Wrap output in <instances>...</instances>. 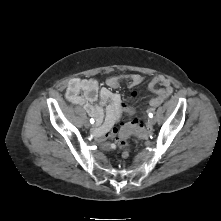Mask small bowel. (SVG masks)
<instances>
[{"instance_id": "1", "label": "small bowel", "mask_w": 221, "mask_h": 221, "mask_svg": "<svg viewBox=\"0 0 221 221\" xmlns=\"http://www.w3.org/2000/svg\"><path fill=\"white\" fill-rule=\"evenodd\" d=\"M122 80H128L130 86H136L144 81V77L140 74L111 76L107 78L106 86L102 88L95 79L74 78L66 88L68 101L82 106L88 115L95 119L94 134L99 138L114 139L119 131L115 125L121 116L124 113L133 114L134 112L131 107L123 103L120 95L112 91L119 87ZM148 86L155 94L150 100L152 108L159 106L173 91L171 81L161 75L153 77ZM97 99L99 103H96ZM103 106H105V111ZM137 123L141 122L137 120Z\"/></svg>"}]
</instances>
